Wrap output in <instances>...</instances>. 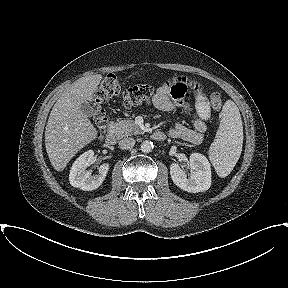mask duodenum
<instances>
[{"instance_id":"410a0bca","label":"duodenum","mask_w":288,"mask_h":288,"mask_svg":"<svg viewBox=\"0 0 288 288\" xmlns=\"http://www.w3.org/2000/svg\"><path fill=\"white\" fill-rule=\"evenodd\" d=\"M153 138L157 141H164L166 139V134L163 131H156L153 133ZM118 139L117 129L114 123L108 125L107 134H106V144L115 145Z\"/></svg>"}]
</instances>
